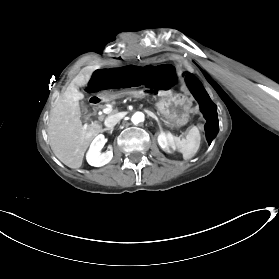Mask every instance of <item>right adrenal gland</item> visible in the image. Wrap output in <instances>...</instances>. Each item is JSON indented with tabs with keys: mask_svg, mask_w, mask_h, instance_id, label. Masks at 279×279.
<instances>
[{
	"mask_svg": "<svg viewBox=\"0 0 279 279\" xmlns=\"http://www.w3.org/2000/svg\"><path fill=\"white\" fill-rule=\"evenodd\" d=\"M110 130V128H104L103 131Z\"/></svg>",
	"mask_w": 279,
	"mask_h": 279,
	"instance_id": "right-adrenal-gland-1",
	"label": "right adrenal gland"
}]
</instances>
